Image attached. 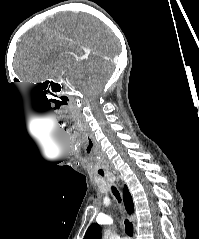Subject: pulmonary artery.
Returning <instances> with one entry per match:
<instances>
[{
  "instance_id": "e3ab8cb5",
  "label": "pulmonary artery",
  "mask_w": 199,
  "mask_h": 239,
  "mask_svg": "<svg viewBox=\"0 0 199 239\" xmlns=\"http://www.w3.org/2000/svg\"><path fill=\"white\" fill-rule=\"evenodd\" d=\"M121 239H128V237H123V238H121Z\"/></svg>"
}]
</instances>
